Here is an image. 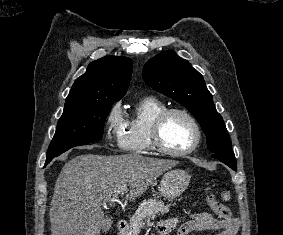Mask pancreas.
<instances>
[{"label":"pancreas","instance_id":"obj_1","mask_svg":"<svg viewBox=\"0 0 283 235\" xmlns=\"http://www.w3.org/2000/svg\"><path fill=\"white\" fill-rule=\"evenodd\" d=\"M170 204L165 205L158 199L144 200L130 219L131 232L138 235L144 223L154 219L156 215L169 212Z\"/></svg>","mask_w":283,"mask_h":235}]
</instances>
